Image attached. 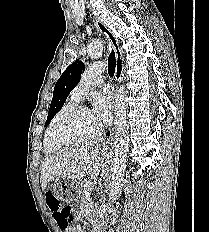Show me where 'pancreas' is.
Returning a JSON list of instances; mask_svg holds the SVG:
<instances>
[{"label": "pancreas", "mask_w": 209, "mask_h": 232, "mask_svg": "<svg viewBox=\"0 0 209 232\" xmlns=\"http://www.w3.org/2000/svg\"><path fill=\"white\" fill-rule=\"evenodd\" d=\"M90 181H84L82 184H81V191L82 193L84 194L85 192L89 191L90 189Z\"/></svg>", "instance_id": "cf45deb5"}]
</instances>
